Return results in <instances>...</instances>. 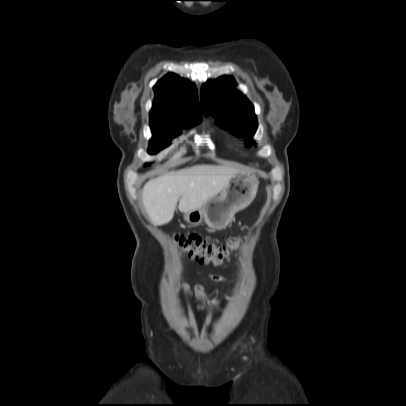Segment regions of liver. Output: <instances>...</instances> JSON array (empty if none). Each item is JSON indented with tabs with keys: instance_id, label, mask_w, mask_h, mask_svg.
<instances>
[{
	"instance_id": "liver-1",
	"label": "liver",
	"mask_w": 406,
	"mask_h": 406,
	"mask_svg": "<svg viewBox=\"0 0 406 406\" xmlns=\"http://www.w3.org/2000/svg\"><path fill=\"white\" fill-rule=\"evenodd\" d=\"M239 168L229 165H195L150 180L143 189L148 218L158 225L169 223L179 201L183 213L200 209L218 195Z\"/></svg>"
}]
</instances>
